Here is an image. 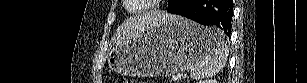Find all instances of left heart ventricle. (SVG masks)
<instances>
[{
  "label": "left heart ventricle",
  "mask_w": 307,
  "mask_h": 83,
  "mask_svg": "<svg viewBox=\"0 0 307 83\" xmlns=\"http://www.w3.org/2000/svg\"><path fill=\"white\" fill-rule=\"evenodd\" d=\"M133 3H136L135 1H133ZM141 7H143V5H135V4H131L130 8L132 10H139Z\"/></svg>",
  "instance_id": "left-heart-ventricle-1"
}]
</instances>
